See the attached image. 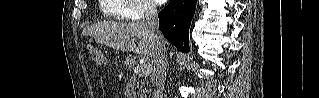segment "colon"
Wrapping results in <instances>:
<instances>
[{
    "mask_svg": "<svg viewBox=\"0 0 319 98\" xmlns=\"http://www.w3.org/2000/svg\"><path fill=\"white\" fill-rule=\"evenodd\" d=\"M88 53L91 61L97 66H104L106 64V59L102 52L93 45L88 46Z\"/></svg>",
    "mask_w": 319,
    "mask_h": 98,
    "instance_id": "1",
    "label": "colon"
}]
</instances>
